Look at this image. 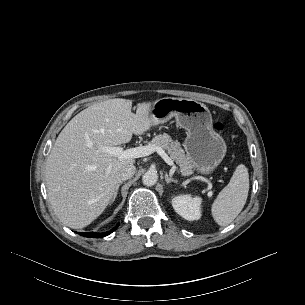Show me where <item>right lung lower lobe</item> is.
Listing matches in <instances>:
<instances>
[{"label": "right lung lower lobe", "mask_w": 305, "mask_h": 305, "mask_svg": "<svg viewBox=\"0 0 305 305\" xmlns=\"http://www.w3.org/2000/svg\"><path fill=\"white\" fill-rule=\"evenodd\" d=\"M119 226V224H117L115 227H113L111 230L103 232V233H94V232H89V233H80V235L84 236V237H90V238H102L105 237L107 235H109L110 233H112L114 230H116V228Z\"/></svg>", "instance_id": "98d812e1"}]
</instances>
